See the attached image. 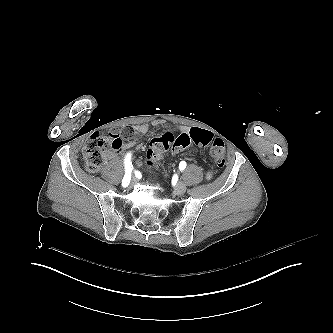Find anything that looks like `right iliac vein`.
Wrapping results in <instances>:
<instances>
[{
	"instance_id": "63e3f726",
	"label": "right iliac vein",
	"mask_w": 333,
	"mask_h": 333,
	"mask_svg": "<svg viewBox=\"0 0 333 333\" xmlns=\"http://www.w3.org/2000/svg\"><path fill=\"white\" fill-rule=\"evenodd\" d=\"M132 182L135 183V182H136V179H132Z\"/></svg>"
}]
</instances>
